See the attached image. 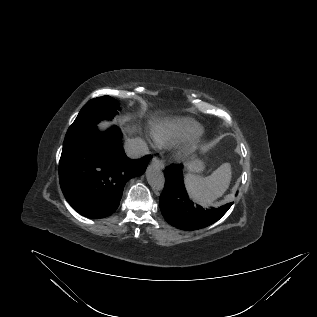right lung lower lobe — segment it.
I'll list each match as a JSON object with an SVG mask.
<instances>
[{
    "label": "right lung lower lobe",
    "mask_w": 317,
    "mask_h": 317,
    "mask_svg": "<svg viewBox=\"0 0 317 317\" xmlns=\"http://www.w3.org/2000/svg\"><path fill=\"white\" fill-rule=\"evenodd\" d=\"M121 137L117 127L103 133L94 128L63 149L60 186L78 213L89 218L111 215L119 206L126 182L144 173L151 156L128 158Z\"/></svg>",
    "instance_id": "obj_1"
}]
</instances>
